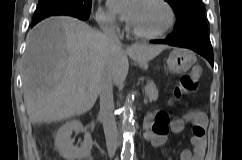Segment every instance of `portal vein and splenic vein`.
Here are the masks:
<instances>
[{
	"label": "portal vein and splenic vein",
	"instance_id": "portal-vein-and-splenic-vein-1",
	"mask_svg": "<svg viewBox=\"0 0 242 160\" xmlns=\"http://www.w3.org/2000/svg\"><path fill=\"white\" fill-rule=\"evenodd\" d=\"M144 103H147V100L146 99H144Z\"/></svg>",
	"mask_w": 242,
	"mask_h": 160
}]
</instances>
